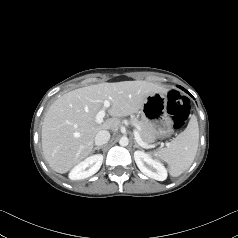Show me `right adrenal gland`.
I'll list each match as a JSON object with an SVG mask.
<instances>
[{
  "mask_svg": "<svg viewBox=\"0 0 238 238\" xmlns=\"http://www.w3.org/2000/svg\"><path fill=\"white\" fill-rule=\"evenodd\" d=\"M101 148H102V146L94 147L93 152H94L95 150H100Z\"/></svg>",
  "mask_w": 238,
  "mask_h": 238,
  "instance_id": "2a0ac1e0",
  "label": "right adrenal gland"
}]
</instances>
